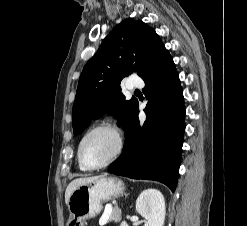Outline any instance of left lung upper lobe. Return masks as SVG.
<instances>
[{
    "label": "left lung upper lobe",
    "instance_id": "obj_1",
    "mask_svg": "<svg viewBox=\"0 0 247 226\" xmlns=\"http://www.w3.org/2000/svg\"><path fill=\"white\" fill-rule=\"evenodd\" d=\"M163 47L158 34L141 20L118 24L82 70L73 105L74 133L109 111L126 128L138 101L125 100L121 80L134 71L143 77Z\"/></svg>",
    "mask_w": 247,
    "mask_h": 226
}]
</instances>
